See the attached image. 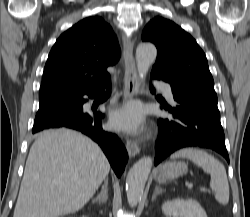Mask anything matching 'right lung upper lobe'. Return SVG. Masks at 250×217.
Returning <instances> with one entry per match:
<instances>
[{"mask_svg": "<svg viewBox=\"0 0 250 217\" xmlns=\"http://www.w3.org/2000/svg\"><path fill=\"white\" fill-rule=\"evenodd\" d=\"M118 41L100 17H88L64 32L52 47L42 78L39 106L73 99L110 82L106 71L120 58Z\"/></svg>", "mask_w": 250, "mask_h": 217, "instance_id": "cb5924a9", "label": "right lung upper lobe"}]
</instances>
